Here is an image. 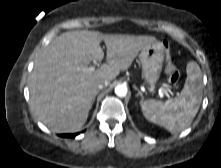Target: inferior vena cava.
Masks as SVG:
<instances>
[{"instance_id": "1", "label": "inferior vena cava", "mask_w": 221, "mask_h": 168, "mask_svg": "<svg viewBox=\"0 0 221 168\" xmlns=\"http://www.w3.org/2000/svg\"><path fill=\"white\" fill-rule=\"evenodd\" d=\"M109 84V81L108 80H104V81H101L99 84H98V89H103L104 87H107Z\"/></svg>"}]
</instances>
